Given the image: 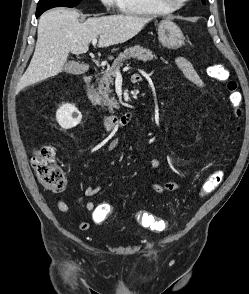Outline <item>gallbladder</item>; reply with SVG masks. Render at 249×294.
<instances>
[{"label": "gallbladder", "mask_w": 249, "mask_h": 294, "mask_svg": "<svg viewBox=\"0 0 249 294\" xmlns=\"http://www.w3.org/2000/svg\"><path fill=\"white\" fill-rule=\"evenodd\" d=\"M64 69L69 74H81L84 71L82 65L75 61L66 63Z\"/></svg>", "instance_id": "1"}]
</instances>
